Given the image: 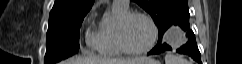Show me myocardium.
<instances>
[{
  "label": "myocardium",
  "mask_w": 242,
  "mask_h": 64,
  "mask_svg": "<svg viewBox=\"0 0 242 64\" xmlns=\"http://www.w3.org/2000/svg\"><path fill=\"white\" fill-rule=\"evenodd\" d=\"M134 17H141V18H144L145 20H147L148 23L150 24V27L152 30V36H151L150 42L148 43V45L146 47H144L142 49H133V48L129 47V45L127 44L126 39H125L126 25L129 22V20ZM157 38H158L157 25H156L155 21L153 20V18L150 15H148L147 13L140 12V11L127 12L125 15H123L120 18V20L118 22V27H117L118 44H119L121 50L126 54L142 55V54L149 52L154 47V45L157 41Z\"/></svg>",
  "instance_id": "myocardium-1"
}]
</instances>
